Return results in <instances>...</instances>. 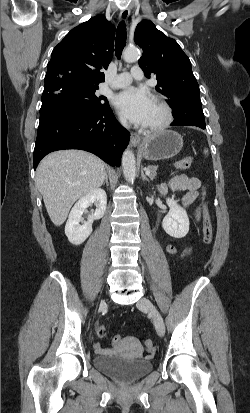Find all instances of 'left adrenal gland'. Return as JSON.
<instances>
[{"label":"left adrenal gland","instance_id":"left-adrenal-gland-1","mask_svg":"<svg viewBox=\"0 0 250 413\" xmlns=\"http://www.w3.org/2000/svg\"><path fill=\"white\" fill-rule=\"evenodd\" d=\"M144 170H145V169H143V168H142V170H141V177H142V180L149 181V179L147 178V176L144 174Z\"/></svg>","mask_w":250,"mask_h":413}]
</instances>
